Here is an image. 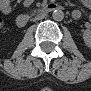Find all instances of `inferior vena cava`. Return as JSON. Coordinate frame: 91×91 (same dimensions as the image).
<instances>
[{
  "mask_svg": "<svg viewBox=\"0 0 91 91\" xmlns=\"http://www.w3.org/2000/svg\"><path fill=\"white\" fill-rule=\"evenodd\" d=\"M46 18V13H40L39 15H35V20H42Z\"/></svg>",
  "mask_w": 91,
  "mask_h": 91,
  "instance_id": "obj_1",
  "label": "inferior vena cava"
}]
</instances>
